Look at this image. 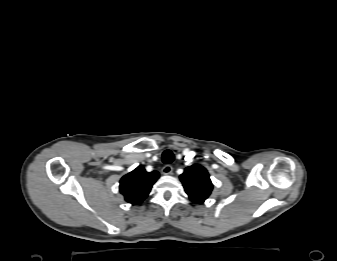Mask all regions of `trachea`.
Returning <instances> with one entry per match:
<instances>
[{
    "label": "trachea",
    "mask_w": 337,
    "mask_h": 261,
    "mask_svg": "<svg viewBox=\"0 0 337 261\" xmlns=\"http://www.w3.org/2000/svg\"><path fill=\"white\" fill-rule=\"evenodd\" d=\"M174 160V154L170 150H165L162 154V161L165 164H170Z\"/></svg>",
    "instance_id": "3493384b"
}]
</instances>
